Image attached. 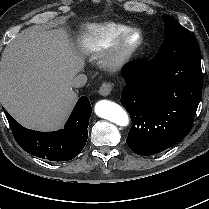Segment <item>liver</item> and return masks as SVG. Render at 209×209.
I'll return each instance as SVG.
<instances>
[{"label":"liver","mask_w":209,"mask_h":209,"mask_svg":"<svg viewBox=\"0 0 209 209\" xmlns=\"http://www.w3.org/2000/svg\"><path fill=\"white\" fill-rule=\"evenodd\" d=\"M83 67L64 29L27 28L2 53L0 100L22 125L57 130L77 100L72 80Z\"/></svg>","instance_id":"6515ba94"}]
</instances>
